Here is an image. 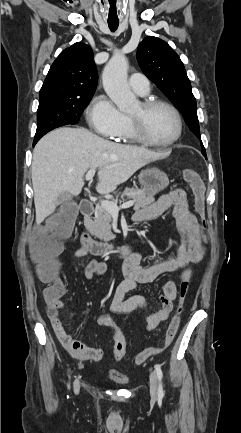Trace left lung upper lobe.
<instances>
[{
	"instance_id": "obj_1",
	"label": "left lung upper lobe",
	"mask_w": 241,
	"mask_h": 433,
	"mask_svg": "<svg viewBox=\"0 0 241 433\" xmlns=\"http://www.w3.org/2000/svg\"><path fill=\"white\" fill-rule=\"evenodd\" d=\"M137 60L143 73L180 109L189 129L201 139L196 100L177 53L165 41L147 36L138 46ZM201 146L206 155L202 142Z\"/></svg>"
}]
</instances>
